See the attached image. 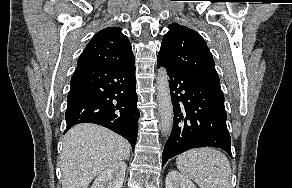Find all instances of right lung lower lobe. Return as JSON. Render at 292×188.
Returning a JSON list of instances; mask_svg holds the SVG:
<instances>
[{"label": "right lung lower lobe", "mask_w": 292, "mask_h": 188, "mask_svg": "<svg viewBox=\"0 0 292 188\" xmlns=\"http://www.w3.org/2000/svg\"><path fill=\"white\" fill-rule=\"evenodd\" d=\"M135 85L134 61L77 65L67 98L66 131L78 123H95L120 134L134 149L140 115Z\"/></svg>", "instance_id": "obj_1"}]
</instances>
